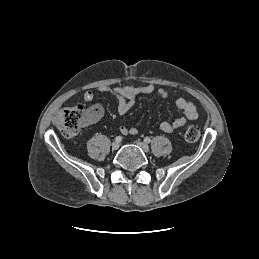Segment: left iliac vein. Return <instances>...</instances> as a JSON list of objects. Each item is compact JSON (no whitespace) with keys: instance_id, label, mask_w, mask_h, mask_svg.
Returning <instances> with one entry per match:
<instances>
[{"instance_id":"4c4485c4","label":"left iliac vein","mask_w":259,"mask_h":259,"mask_svg":"<svg viewBox=\"0 0 259 259\" xmlns=\"http://www.w3.org/2000/svg\"><path fill=\"white\" fill-rule=\"evenodd\" d=\"M145 153H148L149 152V146L144 143V142H141V141H136L135 142Z\"/></svg>"}]
</instances>
